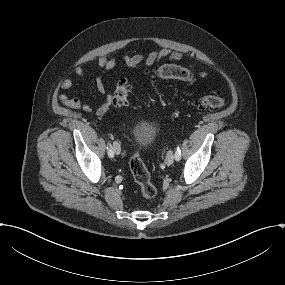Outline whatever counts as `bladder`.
Returning <instances> with one entry per match:
<instances>
[{
  "label": "bladder",
  "instance_id": "31cf9c89",
  "mask_svg": "<svg viewBox=\"0 0 285 285\" xmlns=\"http://www.w3.org/2000/svg\"><path fill=\"white\" fill-rule=\"evenodd\" d=\"M157 139V126L148 120H138L135 122L132 140L143 150L151 148Z\"/></svg>",
  "mask_w": 285,
  "mask_h": 285
}]
</instances>
